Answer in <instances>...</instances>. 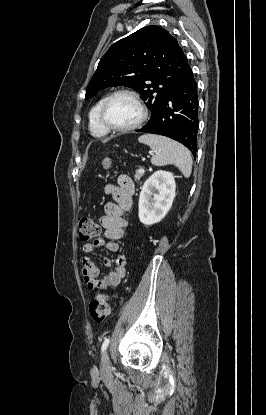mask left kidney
<instances>
[{
    "mask_svg": "<svg viewBox=\"0 0 266 415\" xmlns=\"http://www.w3.org/2000/svg\"><path fill=\"white\" fill-rule=\"evenodd\" d=\"M176 183L171 172L159 170L144 183L139 195V220L144 225L160 222L172 207Z\"/></svg>",
    "mask_w": 266,
    "mask_h": 415,
    "instance_id": "1",
    "label": "left kidney"
}]
</instances>
